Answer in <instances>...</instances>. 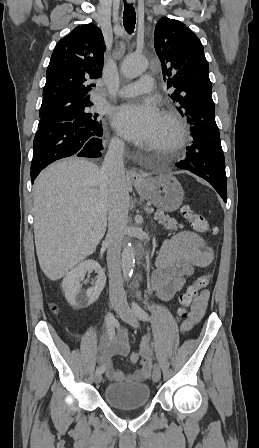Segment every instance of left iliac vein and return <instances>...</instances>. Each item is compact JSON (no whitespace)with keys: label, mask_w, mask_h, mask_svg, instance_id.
Returning a JSON list of instances; mask_svg holds the SVG:
<instances>
[{"label":"left iliac vein","mask_w":259,"mask_h":448,"mask_svg":"<svg viewBox=\"0 0 259 448\" xmlns=\"http://www.w3.org/2000/svg\"><path fill=\"white\" fill-rule=\"evenodd\" d=\"M117 313L120 318L134 328H138L139 323L135 313L125 300H122L117 308ZM161 378V370L158 364L153 367L152 379L154 382H158Z\"/></svg>","instance_id":"obj_1"}]
</instances>
